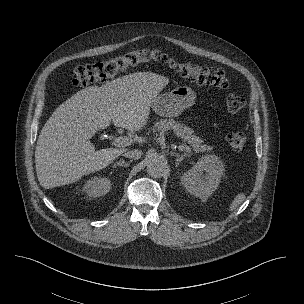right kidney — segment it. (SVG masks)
Wrapping results in <instances>:
<instances>
[{
    "label": "right kidney",
    "instance_id": "obj_1",
    "mask_svg": "<svg viewBox=\"0 0 304 304\" xmlns=\"http://www.w3.org/2000/svg\"><path fill=\"white\" fill-rule=\"evenodd\" d=\"M111 188V181L106 177L94 176L86 180L83 191L89 196L99 197L109 192Z\"/></svg>",
    "mask_w": 304,
    "mask_h": 304
}]
</instances>
